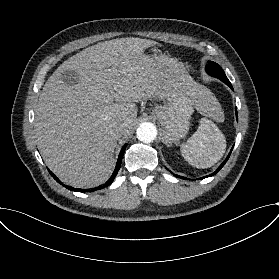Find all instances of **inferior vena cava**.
Masks as SVG:
<instances>
[{"label":"inferior vena cava","mask_w":279,"mask_h":279,"mask_svg":"<svg viewBox=\"0 0 279 279\" xmlns=\"http://www.w3.org/2000/svg\"><path fill=\"white\" fill-rule=\"evenodd\" d=\"M127 126H128L127 123H123L122 125L117 126V127L115 128V130H114L113 133H114L118 138H120L124 132H127V130H126V127H127Z\"/></svg>","instance_id":"inferior-vena-cava-1"}]
</instances>
